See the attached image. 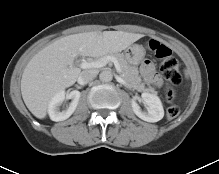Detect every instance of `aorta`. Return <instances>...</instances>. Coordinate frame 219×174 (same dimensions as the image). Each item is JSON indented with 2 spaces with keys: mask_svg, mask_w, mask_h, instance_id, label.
I'll return each mask as SVG.
<instances>
[{
  "mask_svg": "<svg viewBox=\"0 0 219 174\" xmlns=\"http://www.w3.org/2000/svg\"><path fill=\"white\" fill-rule=\"evenodd\" d=\"M99 79L102 82H110L113 79V74L110 70H103L100 74H99Z\"/></svg>",
  "mask_w": 219,
  "mask_h": 174,
  "instance_id": "1",
  "label": "aorta"
}]
</instances>
